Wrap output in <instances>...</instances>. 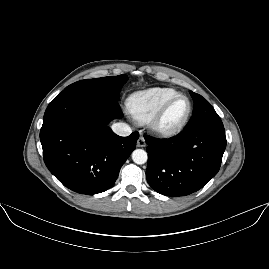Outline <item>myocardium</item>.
Wrapping results in <instances>:
<instances>
[{"label":"myocardium","instance_id":"myocardium-1","mask_svg":"<svg viewBox=\"0 0 269 269\" xmlns=\"http://www.w3.org/2000/svg\"><path fill=\"white\" fill-rule=\"evenodd\" d=\"M184 98L187 100L188 107L183 119L174 127L168 128L164 126V119L171 108V106L178 100ZM191 113V102L188 97L184 95H177L171 99H169L163 107L158 111V113L149 121L150 129L158 135L169 137L177 135L179 132L183 130L186 126L189 116Z\"/></svg>","mask_w":269,"mask_h":269}]
</instances>
